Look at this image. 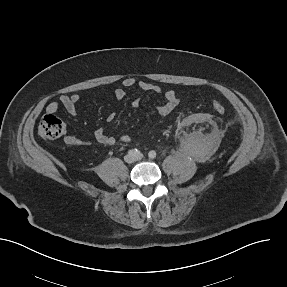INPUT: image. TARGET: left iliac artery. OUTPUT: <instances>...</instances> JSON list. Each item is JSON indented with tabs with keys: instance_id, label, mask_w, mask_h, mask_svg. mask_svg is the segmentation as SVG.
Listing matches in <instances>:
<instances>
[{
	"instance_id": "1",
	"label": "left iliac artery",
	"mask_w": 287,
	"mask_h": 287,
	"mask_svg": "<svg viewBox=\"0 0 287 287\" xmlns=\"http://www.w3.org/2000/svg\"><path fill=\"white\" fill-rule=\"evenodd\" d=\"M148 156H149L150 158L154 159V158L156 157V152H155L154 150H152V151H150V152L148 153Z\"/></svg>"
}]
</instances>
